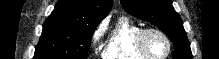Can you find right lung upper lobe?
Returning <instances> with one entry per match:
<instances>
[{"instance_id":"1","label":"right lung upper lobe","mask_w":219,"mask_h":59,"mask_svg":"<svg viewBox=\"0 0 219 59\" xmlns=\"http://www.w3.org/2000/svg\"><path fill=\"white\" fill-rule=\"evenodd\" d=\"M113 0H58L46 20L86 22L98 25L110 12Z\"/></svg>"}]
</instances>
